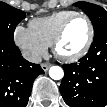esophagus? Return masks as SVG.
Listing matches in <instances>:
<instances>
[{
    "label": "esophagus",
    "mask_w": 107,
    "mask_h": 107,
    "mask_svg": "<svg viewBox=\"0 0 107 107\" xmlns=\"http://www.w3.org/2000/svg\"><path fill=\"white\" fill-rule=\"evenodd\" d=\"M51 64L49 63H42L41 68L46 72L50 68Z\"/></svg>",
    "instance_id": "obj_1"
}]
</instances>
